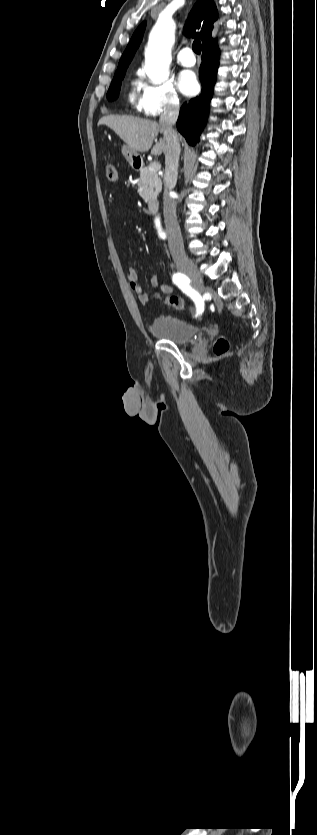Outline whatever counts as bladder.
I'll list each match as a JSON object with an SVG mask.
<instances>
[{
    "instance_id": "obj_1",
    "label": "bladder",
    "mask_w": 317,
    "mask_h": 835,
    "mask_svg": "<svg viewBox=\"0 0 317 835\" xmlns=\"http://www.w3.org/2000/svg\"><path fill=\"white\" fill-rule=\"evenodd\" d=\"M151 332L158 338L185 344L200 334V328L177 317L161 316L152 323Z\"/></svg>"
}]
</instances>
